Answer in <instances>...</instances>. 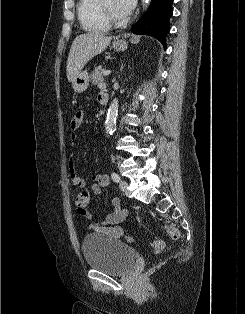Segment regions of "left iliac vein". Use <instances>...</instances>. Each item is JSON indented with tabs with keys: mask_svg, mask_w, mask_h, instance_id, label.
Segmentation results:
<instances>
[{
	"mask_svg": "<svg viewBox=\"0 0 245 314\" xmlns=\"http://www.w3.org/2000/svg\"><path fill=\"white\" fill-rule=\"evenodd\" d=\"M119 187L123 192H126L128 189V183L124 180H121L119 183Z\"/></svg>",
	"mask_w": 245,
	"mask_h": 314,
	"instance_id": "obj_1",
	"label": "left iliac vein"
}]
</instances>
